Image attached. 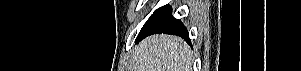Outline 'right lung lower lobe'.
Here are the masks:
<instances>
[{
    "mask_svg": "<svg viewBox=\"0 0 301 71\" xmlns=\"http://www.w3.org/2000/svg\"><path fill=\"white\" fill-rule=\"evenodd\" d=\"M171 13L172 10L169 5L157 9L142 27L136 38V42H139L148 35L165 33L178 35L190 44L187 29L180 20L175 19Z\"/></svg>",
    "mask_w": 301,
    "mask_h": 71,
    "instance_id": "98d812e1",
    "label": "right lung lower lobe"
}]
</instances>
